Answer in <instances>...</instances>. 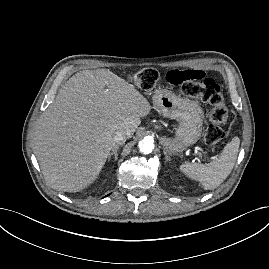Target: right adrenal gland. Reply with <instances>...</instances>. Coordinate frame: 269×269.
<instances>
[{
	"label": "right adrenal gland",
	"instance_id": "obj_1",
	"mask_svg": "<svg viewBox=\"0 0 269 269\" xmlns=\"http://www.w3.org/2000/svg\"><path fill=\"white\" fill-rule=\"evenodd\" d=\"M122 145H123V143H119L113 147L112 152L108 155V160H110L112 155H114V160L115 161L117 160V156H118L117 151H118L119 147Z\"/></svg>",
	"mask_w": 269,
	"mask_h": 269
}]
</instances>
